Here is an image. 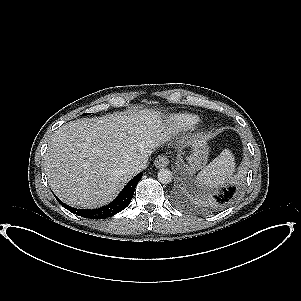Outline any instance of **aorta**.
<instances>
[{
    "instance_id": "762f6f07",
    "label": "aorta",
    "mask_w": 301,
    "mask_h": 301,
    "mask_svg": "<svg viewBox=\"0 0 301 301\" xmlns=\"http://www.w3.org/2000/svg\"><path fill=\"white\" fill-rule=\"evenodd\" d=\"M172 172L168 169H161L157 174L158 181L162 184H169L172 181Z\"/></svg>"
}]
</instances>
